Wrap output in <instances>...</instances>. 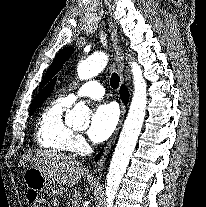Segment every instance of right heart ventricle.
Segmentation results:
<instances>
[{"mask_svg":"<svg viewBox=\"0 0 206 207\" xmlns=\"http://www.w3.org/2000/svg\"><path fill=\"white\" fill-rule=\"evenodd\" d=\"M70 105L71 102L66 97H59L42 111L35 132V142L39 147L60 153L76 150V134L64 120V114Z\"/></svg>","mask_w":206,"mask_h":207,"instance_id":"1","label":"right heart ventricle"}]
</instances>
